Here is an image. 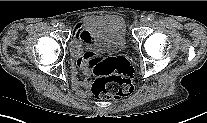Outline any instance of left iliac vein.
<instances>
[{"label":"left iliac vein","mask_w":207,"mask_h":123,"mask_svg":"<svg viewBox=\"0 0 207 123\" xmlns=\"http://www.w3.org/2000/svg\"><path fill=\"white\" fill-rule=\"evenodd\" d=\"M147 22H148V19H147V17H145V16H143V17L140 19V23H141L142 25H145Z\"/></svg>","instance_id":"left-iliac-vein-1"}]
</instances>
